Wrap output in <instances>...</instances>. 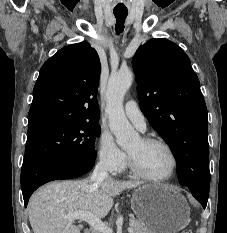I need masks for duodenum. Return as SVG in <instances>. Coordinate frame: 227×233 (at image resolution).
I'll return each mask as SVG.
<instances>
[{
    "label": "duodenum",
    "mask_w": 227,
    "mask_h": 233,
    "mask_svg": "<svg viewBox=\"0 0 227 233\" xmlns=\"http://www.w3.org/2000/svg\"><path fill=\"white\" fill-rule=\"evenodd\" d=\"M84 233H90V232L86 231V232H84Z\"/></svg>",
    "instance_id": "410a0bca"
}]
</instances>
